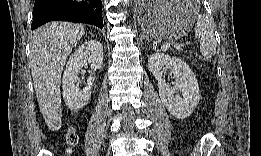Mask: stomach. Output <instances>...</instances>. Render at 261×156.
Returning <instances> with one entry per match:
<instances>
[{
  "label": "stomach",
  "instance_id": "0dacf381",
  "mask_svg": "<svg viewBox=\"0 0 261 156\" xmlns=\"http://www.w3.org/2000/svg\"><path fill=\"white\" fill-rule=\"evenodd\" d=\"M137 20L143 31L158 40H176L192 29L198 9L192 2H140Z\"/></svg>",
  "mask_w": 261,
  "mask_h": 156
}]
</instances>
